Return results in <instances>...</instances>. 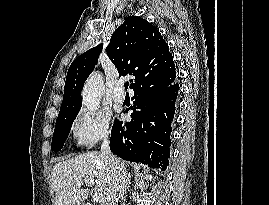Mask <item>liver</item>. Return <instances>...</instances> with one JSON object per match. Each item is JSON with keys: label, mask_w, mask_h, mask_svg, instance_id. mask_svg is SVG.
<instances>
[{"label": "liver", "mask_w": 269, "mask_h": 205, "mask_svg": "<svg viewBox=\"0 0 269 205\" xmlns=\"http://www.w3.org/2000/svg\"><path fill=\"white\" fill-rule=\"evenodd\" d=\"M95 178V189L107 197L112 180L111 168L102 153L91 151L56 163L52 170L54 205H80L89 189H80L76 181Z\"/></svg>", "instance_id": "liver-1"}]
</instances>
